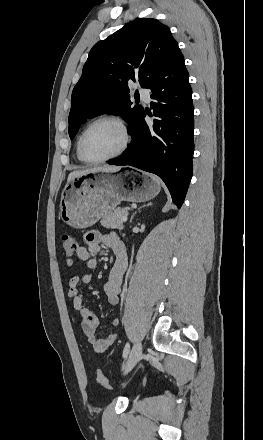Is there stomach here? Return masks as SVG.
I'll list each match as a JSON object with an SVG mask.
<instances>
[{
    "label": "stomach",
    "mask_w": 263,
    "mask_h": 440,
    "mask_svg": "<svg viewBox=\"0 0 263 440\" xmlns=\"http://www.w3.org/2000/svg\"><path fill=\"white\" fill-rule=\"evenodd\" d=\"M160 188V180L147 173L125 171L117 175L105 172L81 175L65 185L59 217L71 227L84 229L112 212L122 201H149Z\"/></svg>",
    "instance_id": "obj_1"
}]
</instances>
